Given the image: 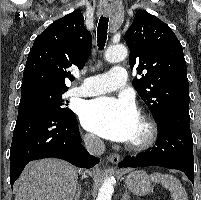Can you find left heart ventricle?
<instances>
[{
  "mask_svg": "<svg viewBox=\"0 0 201 200\" xmlns=\"http://www.w3.org/2000/svg\"><path fill=\"white\" fill-rule=\"evenodd\" d=\"M143 134H144V127H143L142 122L139 120L137 123L135 133H134L132 139L130 140V142H134V141L141 139Z\"/></svg>",
  "mask_w": 201,
  "mask_h": 200,
  "instance_id": "left-heart-ventricle-1",
  "label": "left heart ventricle"
}]
</instances>
